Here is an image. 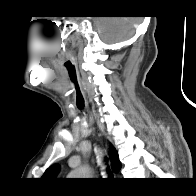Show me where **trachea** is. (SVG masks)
Here are the masks:
<instances>
[{
  "label": "trachea",
  "instance_id": "1",
  "mask_svg": "<svg viewBox=\"0 0 196 196\" xmlns=\"http://www.w3.org/2000/svg\"><path fill=\"white\" fill-rule=\"evenodd\" d=\"M108 173L111 175V172H110V170H109V167H108Z\"/></svg>",
  "mask_w": 196,
  "mask_h": 196
}]
</instances>
